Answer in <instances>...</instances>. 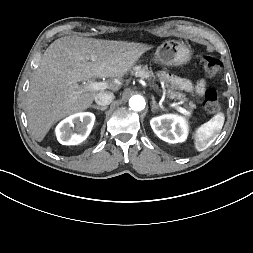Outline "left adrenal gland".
I'll list each match as a JSON object with an SVG mask.
<instances>
[{"label":"left adrenal gland","instance_id":"a2214340","mask_svg":"<svg viewBox=\"0 0 253 253\" xmlns=\"http://www.w3.org/2000/svg\"><path fill=\"white\" fill-rule=\"evenodd\" d=\"M157 109H159V106L157 105L154 96H152L151 111L155 112Z\"/></svg>","mask_w":253,"mask_h":253}]
</instances>
